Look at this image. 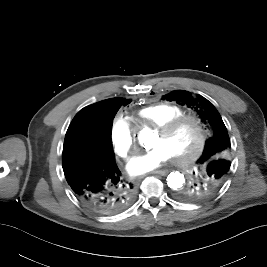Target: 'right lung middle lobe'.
<instances>
[{"mask_svg": "<svg viewBox=\"0 0 267 267\" xmlns=\"http://www.w3.org/2000/svg\"><path fill=\"white\" fill-rule=\"evenodd\" d=\"M122 105L123 104H112L106 108L105 114H104V120H105V125L109 128V132H107L106 134L101 133V138H99L96 148L92 150L91 149L88 150L87 154L85 155L87 158L93 155H97V156H101L105 158H114L112 145H111L112 124H113V119L116 113L118 112L119 108ZM75 126L76 124L75 125H72V123L70 124L65 137L70 135V133L75 128Z\"/></svg>", "mask_w": 267, "mask_h": 267, "instance_id": "right-lung-middle-lobe-1", "label": "right lung middle lobe"}]
</instances>
